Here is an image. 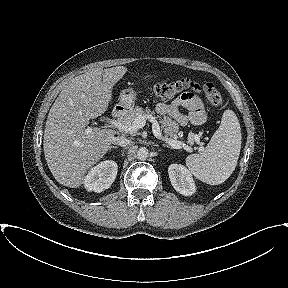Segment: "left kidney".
<instances>
[{
	"mask_svg": "<svg viewBox=\"0 0 288 288\" xmlns=\"http://www.w3.org/2000/svg\"><path fill=\"white\" fill-rule=\"evenodd\" d=\"M168 174L174 189L182 195L191 196L195 193V183L190 172L180 164H171Z\"/></svg>",
	"mask_w": 288,
	"mask_h": 288,
	"instance_id": "left-kidney-1",
	"label": "left kidney"
}]
</instances>
